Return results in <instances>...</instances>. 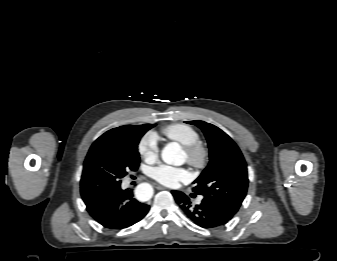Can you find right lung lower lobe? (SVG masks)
Returning a JSON list of instances; mask_svg holds the SVG:
<instances>
[{
  "label": "right lung lower lobe",
  "mask_w": 337,
  "mask_h": 261,
  "mask_svg": "<svg viewBox=\"0 0 337 261\" xmlns=\"http://www.w3.org/2000/svg\"><path fill=\"white\" fill-rule=\"evenodd\" d=\"M89 214L103 227L124 229L140 221L149 211V205L133 198L131 190L120 185L85 203Z\"/></svg>",
  "instance_id": "right-lung-lower-lobe-1"
}]
</instances>
